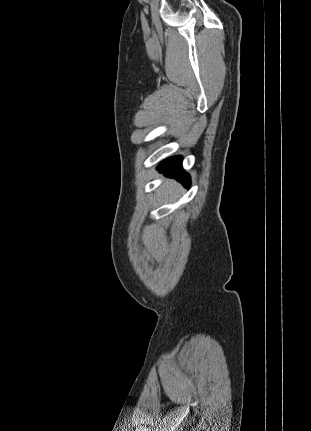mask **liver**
Segmentation results:
<instances>
[{"label": "liver", "instance_id": "1", "mask_svg": "<svg viewBox=\"0 0 311 431\" xmlns=\"http://www.w3.org/2000/svg\"><path fill=\"white\" fill-rule=\"evenodd\" d=\"M170 186H172V184H170ZM170 186H167V188H163V190H165V192H169V194H172L173 190H175V188H170Z\"/></svg>", "mask_w": 311, "mask_h": 431}]
</instances>
